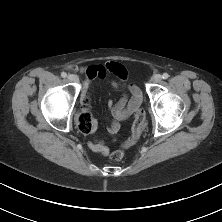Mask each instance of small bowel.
<instances>
[{"mask_svg":"<svg viewBox=\"0 0 222 222\" xmlns=\"http://www.w3.org/2000/svg\"><path fill=\"white\" fill-rule=\"evenodd\" d=\"M110 64L112 63H107L105 65L93 64L79 67V71L84 72L87 75V82L85 87H87L89 83L96 78H104L108 72L113 73L122 80L126 79V71L122 66H116L113 69H110ZM113 86L115 88H120L122 85L118 82H113ZM126 90L130 97L123 96L118 102L114 103L110 101L108 104L110 116L112 118V122L108 126V132L112 135L118 133L120 130L121 122L128 118L138 108L142 101V95L137 86L128 84L126 86ZM84 99L83 107L81 110L82 113H84L87 109V106L84 103ZM96 126V121L93 119L92 126L87 134L93 133L96 130ZM89 146L93 151L103 156H107L109 154V148L103 141L92 140L90 141Z\"/></svg>","mask_w":222,"mask_h":222,"instance_id":"1","label":"small bowel"}]
</instances>
